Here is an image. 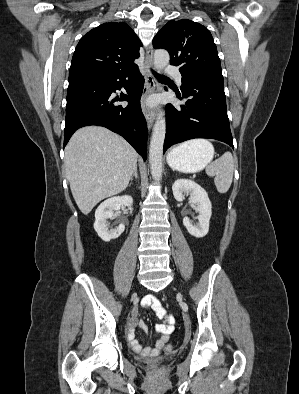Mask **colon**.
<instances>
[{
	"instance_id": "5ec220e1",
	"label": "colon",
	"mask_w": 299,
	"mask_h": 394,
	"mask_svg": "<svg viewBox=\"0 0 299 394\" xmlns=\"http://www.w3.org/2000/svg\"><path fill=\"white\" fill-rule=\"evenodd\" d=\"M170 348H171L170 346L167 347V349H170Z\"/></svg>"
}]
</instances>
